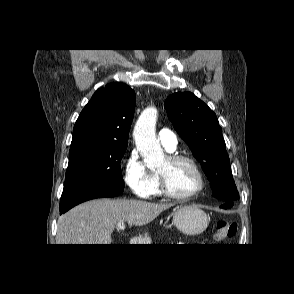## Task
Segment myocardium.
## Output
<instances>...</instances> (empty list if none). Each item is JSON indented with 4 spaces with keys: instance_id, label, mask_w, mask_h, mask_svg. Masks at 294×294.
<instances>
[{
    "instance_id": "myocardium-1",
    "label": "myocardium",
    "mask_w": 294,
    "mask_h": 294,
    "mask_svg": "<svg viewBox=\"0 0 294 294\" xmlns=\"http://www.w3.org/2000/svg\"><path fill=\"white\" fill-rule=\"evenodd\" d=\"M168 161L171 165H176L183 162L188 163L193 168V170L195 171L198 177V186L193 192L189 194H186V195L177 194L171 190L166 176L158 172L159 188L163 195L173 200L187 201V200L193 199L194 197H196L199 193L203 191L205 187V176L203 174L202 169L200 168L199 164L197 163L195 159L186 155L175 154V155L169 156Z\"/></svg>"
}]
</instances>
